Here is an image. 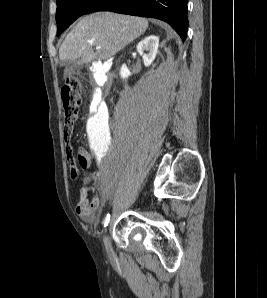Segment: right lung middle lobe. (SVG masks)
Returning a JSON list of instances; mask_svg holds the SVG:
<instances>
[{
    "instance_id": "dd1d6c3e",
    "label": "right lung middle lobe",
    "mask_w": 267,
    "mask_h": 298,
    "mask_svg": "<svg viewBox=\"0 0 267 298\" xmlns=\"http://www.w3.org/2000/svg\"><path fill=\"white\" fill-rule=\"evenodd\" d=\"M100 0H57V35H60L77 18L92 11Z\"/></svg>"
}]
</instances>
